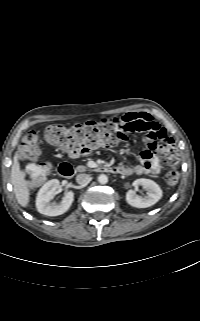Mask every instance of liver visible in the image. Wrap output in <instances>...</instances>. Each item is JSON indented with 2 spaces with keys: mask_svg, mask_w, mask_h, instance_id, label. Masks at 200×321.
<instances>
[{
  "mask_svg": "<svg viewBox=\"0 0 200 321\" xmlns=\"http://www.w3.org/2000/svg\"><path fill=\"white\" fill-rule=\"evenodd\" d=\"M10 179L13 185V190H14L17 202L22 207H27L30 199V193H29L27 182L20 169V164L18 161L17 154H15L13 158Z\"/></svg>",
  "mask_w": 200,
  "mask_h": 321,
  "instance_id": "obj_1",
  "label": "liver"
}]
</instances>
